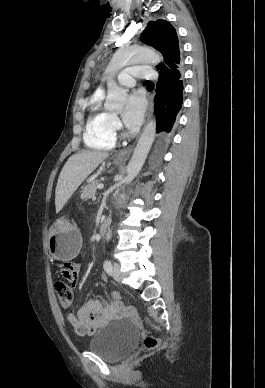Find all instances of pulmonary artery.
Wrapping results in <instances>:
<instances>
[{"label":"pulmonary artery","mask_w":265,"mask_h":388,"mask_svg":"<svg viewBox=\"0 0 265 388\" xmlns=\"http://www.w3.org/2000/svg\"><path fill=\"white\" fill-rule=\"evenodd\" d=\"M153 66L151 64H127L126 69L120 70V86H134L139 79H152ZM130 71V72H129ZM129 73L131 75H129ZM157 76L156 74L154 75Z\"/></svg>","instance_id":"obj_1"}]
</instances>
